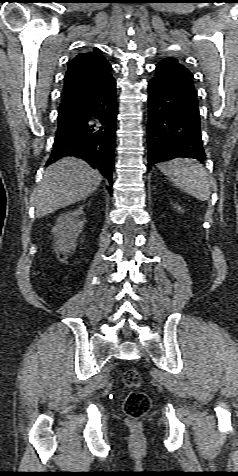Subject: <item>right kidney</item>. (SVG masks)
I'll list each match as a JSON object with an SVG mask.
<instances>
[{
    "label": "right kidney",
    "instance_id": "obj_1",
    "mask_svg": "<svg viewBox=\"0 0 238 476\" xmlns=\"http://www.w3.org/2000/svg\"><path fill=\"white\" fill-rule=\"evenodd\" d=\"M83 214L80 207L74 211L62 214L52 228L55 239V251L67 255L77 245V238L82 232L84 222L79 218Z\"/></svg>",
    "mask_w": 238,
    "mask_h": 476
}]
</instances>
